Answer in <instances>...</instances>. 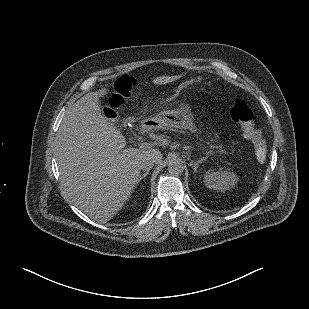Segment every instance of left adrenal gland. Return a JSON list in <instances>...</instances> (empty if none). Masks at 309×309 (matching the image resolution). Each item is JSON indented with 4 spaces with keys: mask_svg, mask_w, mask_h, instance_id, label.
I'll list each match as a JSON object with an SVG mask.
<instances>
[{
    "mask_svg": "<svg viewBox=\"0 0 309 309\" xmlns=\"http://www.w3.org/2000/svg\"><path fill=\"white\" fill-rule=\"evenodd\" d=\"M204 159H201L200 161L198 162H191L190 163V166L193 168L194 172L197 173V169L199 168V165L202 163Z\"/></svg>",
    "mask_w": 309,
    "mask_h": 309,
    "instance_id": "a2214340",
    "label": "left adrenal gland"
}]
</instances>
